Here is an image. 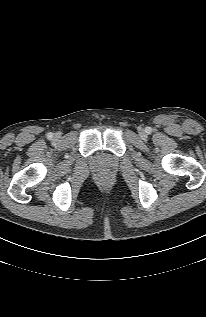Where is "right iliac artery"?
Segmentation results:
<instances>
[{
    "mask_svg": "<svg viewBox=\"0 0 206 317\" xmlns=\"http://www.w3.org/2000/svg\"><path fill=\"white\" fill-rule=\"evenodd\" d=\"M53 137V133L52 132H49L48 134H47V138L48 139H51Z\"/></svg>",
    "mask_w": 206,
    "mask_h": 317,
    "instance_id": "right-iliac-artery-1",
    "label": "right iliac artery"
}]
</instances>
